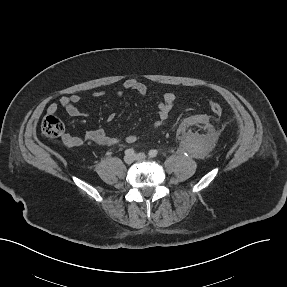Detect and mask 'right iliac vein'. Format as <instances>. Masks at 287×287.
<instances>
[{"label": "right iliac vein", "instance_id": "63e3f726", "mask_svg": "<svg viewBox=\"0 0 287 287\" xmlns=\"http://www.w3.org/2000/svg\"><path fill=\"white\" fill-rule=\"evenodd\" d=\"M134 160H135V157L132 156V155H126V156L124 157V161H125V163H127V164L133 163Z\"/></svg>", "mask_w": 287, "mask_h": 287}]
</instances>
